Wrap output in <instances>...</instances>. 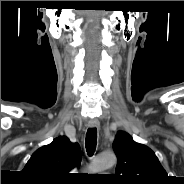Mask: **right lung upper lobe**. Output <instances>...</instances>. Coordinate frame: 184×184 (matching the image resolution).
Here are the masks:
<instances>
[{"instance_id": "right-lung-upper-lobe-1", "label": "right lung upper lobe", "mask_w": 184, "mask_h": 184, "mask_svg": "<svg viewBox=\"0 0 184 184\" xmlns=\"http://www.w3.org/2000/svg\"><path fill=\"white\" fill-rule=\"evenodd\" d=\"M80 161L79 145L71 143L66 136H59L35 151L23 172L36 183L63 184L69 181V171Z\"/></svg>"}]
</instances>
